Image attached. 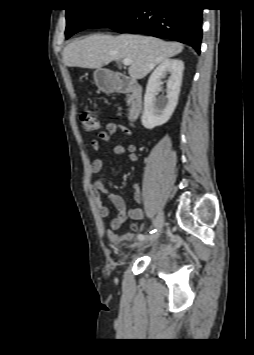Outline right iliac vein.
I'll return each mask as SVG.
<instances>
[{"label":"right iliac vein","instance_id":"63e3f726","mask_svg":"<svg viewBox=\"0 0 254 355\" xmlns=\"http://www.w3.org/2000/svg\"><path fill=\"white\" fill-rule=\"evenodd\" d=\"M163 222H164V213L163 211H159L156 219H155V227L156 229H160L163 226ZM147 244V241H142L139 243V248H143L145 247V245Z\"/></svg>","mask_w":254,"mask_h":355}]
</instances>
